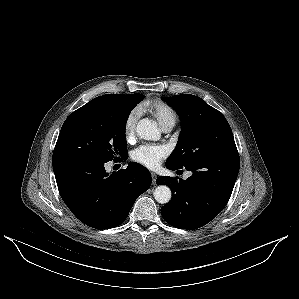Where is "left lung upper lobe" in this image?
Here are the masks:
<instances>
[{"instance_id":"1","label":"left lung upper lobe","mask_w":299,"mask_h":299,"mask_svg":"<svg viewBox=\"0 0 299 299\" xmlns=\"http://www.w3.org/2000/svg\"><path fill=\"white\" fill-rule=\"evenodd\" d=\"M164 99L177 111L182 126L166 165L183 168L212 155L237 150L223 114L201 98L184 94Z\"/></svg>"}]
</instances>
